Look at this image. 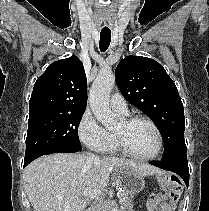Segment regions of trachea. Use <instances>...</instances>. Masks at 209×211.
I'll return each instance as SVG.
<instances>
[{
    "label": "trachea",
    "mask_w": 209,
    "mask_h": 211,
    "mask_svg": "<svg viewBox=\"0 0 209 211\" xmlns=\"http://www.w3.org/2000/svg\"><path fill=\"white\" fill-rule=\"evenodd\" d=\"M111 42V31H101L99 47L102 52L106 51Z\"/></svg>",
    "instance_id": "obj_1"
}]
</instances>
